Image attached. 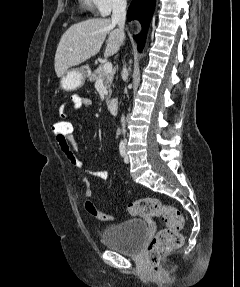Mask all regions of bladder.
I'll return each instance as SVG.
<instances>
[{
	"mask_svg": "<svg viewBox=\"0 0 240 287\" xmlns=\"http://www.w3.org/2000/svg\"><path fill=\"white\" fill-rule=\"evenodd\" d=\"M149 237V228L142 219H129L106 227L102 234L104 245L121 254L137 256Z\"/></svg>",
	"mask_w": 240,
	"mask_h": 287,
	"instance_id": "1",
	"label": "bladder"
}]
</instances>
